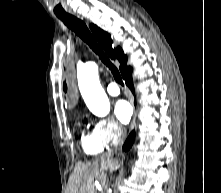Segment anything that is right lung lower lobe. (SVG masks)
Returning <instances> with one entry per match:
<instances>
[{
  "instance_id": "right-lung-lower-lobe-1",
  "label": "right lung lower lobe",
  "mask_w": 221,
  "mask_h": 193,
  "mask_svg": "<svg viewBox=\"0 0 221 193\" xmlns=\"http://www.w3.org/2000/svg\"><path fill=\"white\" fill-rule=\"evenodd\" d=\"M123 79L125 80L127 86L130 88V90L134 93V87H133V82H132V69H130L127 73L123 75ZM134 136L135 132L132 131L127 138L123 148L125 151L129 150L134 142Z\"/></svg>"
}]
</instances>
